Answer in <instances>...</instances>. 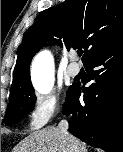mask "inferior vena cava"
<instances>
[{"label": "inferior vena cava", "mask_w": 123, "mask_h": 152, "mask_svg": "<svg viewBox=\"0 0 123 152\" xmlns=\"http://www.w3.org/2000/svg\"><path fill=\"white\" fill-rule=\"evenodd\" d=\"M68 127H69V124H68V121L63 119L60 121L59 123V129L60 131L65 134V135H68Z\"/></svg>", "instance_id": "602c4592"}]
</instances>
